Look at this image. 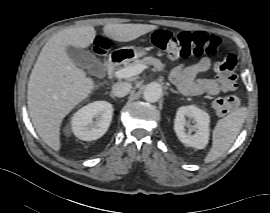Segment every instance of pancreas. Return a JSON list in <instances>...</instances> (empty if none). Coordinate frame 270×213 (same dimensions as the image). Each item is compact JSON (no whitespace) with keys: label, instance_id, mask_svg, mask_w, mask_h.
<instances>
[{"label":"pancreas","instance_id":"cf45deb5","mask_svg":"<svg viewBox=\"0 0 270 213\" xmlns=\"http://www.w3.org/2000/svg\"><path fill=\"white\" fill-rule=\"evenodd\" d=\"M144 64V65H153L158 71H164L165 64L162 63L159 59L152 56L144 57L143 59H135L132 63H126L125 67Z\"/></svg>","mask_w":270,"mask_h":213}]
</instances>
